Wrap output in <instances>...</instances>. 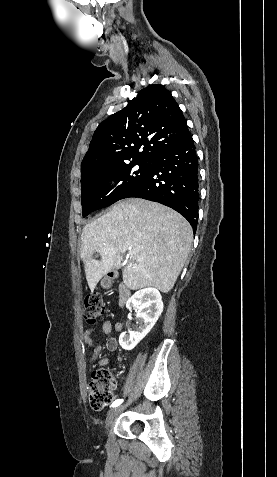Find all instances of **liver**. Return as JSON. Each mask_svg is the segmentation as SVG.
<instances>
[{"instance_id":"6515ba94","label":"liver","mask_w":277,"mask_h":477,"mask_svg":"<svg viewBox=\"0 0 277 477\" xmlns=\"http://www.w3.org/2000/svg\"><path fill=\"white\" fill-rule=\"evenodd\" d=\"M193 232L188 221L173 209L140 198H129L84 226L80 256L91 291L109 271L121 267L123 254L133 256L123 270L131 290L155 287L169 292L188 257ZM99 253L101 260L93 255Z\"/></svg>"}]
</instances>
